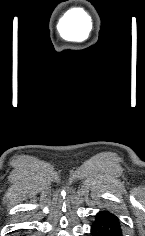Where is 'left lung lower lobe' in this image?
Instances as JSON below:
<instances>
[{
  "mask_svg": "<svg viewBox=\"0 0 145 236\" xmlns=\"http://www.w3.org/2000/svg\"><path fill=\"white\" fill-rule=\"evenodd\" d=\"M91 234L92 236H122L118 217L108 211L98 212L91 226Z\"/></svg>",
  "mask_w": 145,
  "mask_h": 236,
  "instance_id": "obj_1",
  "label": "left lung lower lobe"
}]
</instances>
